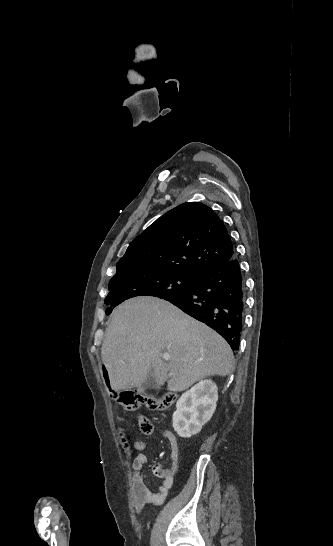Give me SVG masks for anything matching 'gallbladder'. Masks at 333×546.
I'll return each mask as SVG.
<instances>
[{
  "label": "gallbladder",
  "instance_id": "gallbladder-1",
  "mask_svg": "<svg viewBox=\"0 0 333 546\" xmlns=\"http://www.w3.org/2000/svg\"><path fill=\"white\" fill-rule=\"evenodd\" d=\"M141 394H150L159 390V385L156 383L152 373H149L146 380L137 388Z\"/></svg>",
  "mask_w": 333,
  "mask_h": 546
}]
</instances>
